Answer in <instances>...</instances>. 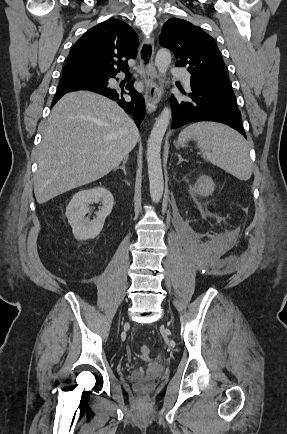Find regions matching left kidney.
Here are the masks:
<instances>
[{
  "mask_svg": "<svg viewBox=\"0 0 287 434\" xmlns=\"http://www.w3.org/2000/svg\"><path fill=\"white\" fill-rule=\"evenodd\" d=\"M215 184L211 177L202 175L194 185L193 191L201 196H208L213 193Z\"/></svg>",
  "mask_w": 287,
  "mask_h": 434,
  "instance_id": "obj_1",
  "label": "left kidney"
}]
</instances>
